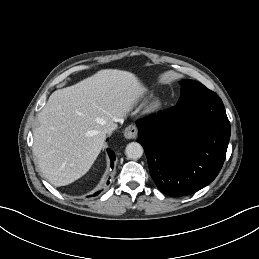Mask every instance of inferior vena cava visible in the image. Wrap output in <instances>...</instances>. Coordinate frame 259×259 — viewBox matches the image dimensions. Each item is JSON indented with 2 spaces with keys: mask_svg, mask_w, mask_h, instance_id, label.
<instances>
[{
  "mask_svg": "<svg viewBox=\"0 0 259 259\" xmlns=\"http://www.w3.org/2000/svg\"><path fill=\"white\" fill-rule=\"evenodd\" d=\"M116 129V125L112 124V125H108L103 129V133L104 134H108L110 132H112L113 130Z\"/></svg>",
  "mask_w": 259,
  "mask_h": 259,
  "instance_id": "obj_1",
  "label": "inferior vena cava"
}]
</instances>
